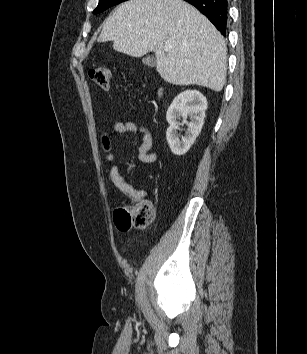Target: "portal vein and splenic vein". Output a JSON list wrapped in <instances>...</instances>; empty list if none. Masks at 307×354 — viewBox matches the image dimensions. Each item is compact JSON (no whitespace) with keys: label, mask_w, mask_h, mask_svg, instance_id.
<instances>
[{"label":"portal vein and splenic vein","mask_w":307,"mask_h":354,"mask_svg":"<svg viewBox=\"0 0 307 354\" xmlns=\"http://www.w3.org/2000/svg\"><path fill=\"white\" fill-rule=\"evenodd\" d=\"M171 46L170 45H165L164 50L168 52L170 50Z\"/></svg>","instance_id":"obj_1"}]
</instances>
